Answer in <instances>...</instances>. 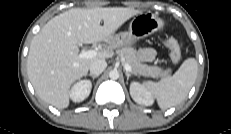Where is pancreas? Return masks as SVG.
Masks as SVG:
<instances>
[{
    "label": "pancreas",
    "mask_w": 231,
    "mask_h": 134,
    "mask_svg": "<svg viewBox=\"0 0 231 134\" xmlns=\"http://www.w3.org/2000/svg\"><path fill=\"white\" fill-rule=\"evenodd\" d=\"M118 55L128 63L134 74L148 76L152 78H162L170 74L171 70H163L158 66L142 64L136 57V50L132 47H122L117 50Z\"/></svg>",
    "instance_id": "cf45deb5"
}]
</instances>
